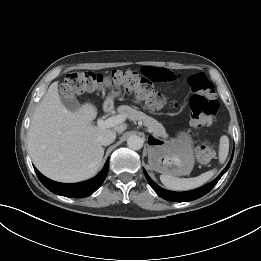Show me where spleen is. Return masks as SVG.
Masks as SVG:
<instances>
[{
	"instance_id": "spleen-1",
	"label": "spleen",
	"mask_w": 261,
	"mask_h": 261,
	"mask_svg": "<svg viewBox=\"0 0 261 261\" xmlns=\"http://www.w3.org/2000/svg\"><path fill=\"white\" fill-rule=\"evenodd\" d=\"M229 151V139L227 136H222L220 138L219 144V161L224 163ZM215 170H210L208 172L202 173L201 175L194 178H177L170 175L162 174L160 175V180L162 184L170 189L175 191H185L191 190L197 187L202 186L209 179L213 177Z\"/></svg>"
}]
</instances>
